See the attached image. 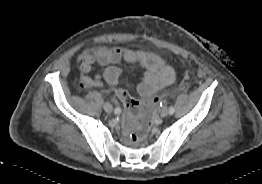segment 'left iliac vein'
<instances>
[{
  "mask_svg": "<svg viewBox=\"0 0 262 184\" xmlns=\"http://www.w3.org/2000/svg\"><path fill=\"white\" fill-rule=\"evenodd\" d=\"M168 113H169L168 109L167 108H163L160 111V117L164 118V117H166L168 115Z\"/></svg>",
  "mask_w": 262,
  "mask_h": 184,
  "instance_id": "1",
  "label": "left iliac vein"
}]
</instances>
